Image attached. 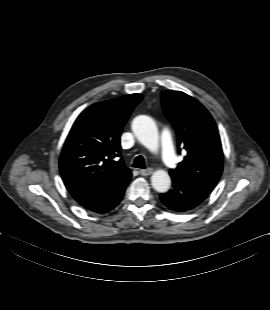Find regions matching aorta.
<instances>
[{"mask_svg":"<svg viewBox=\"0 0 270 310\" xmlns=\"http://www.w3.org/2000/svg\"><path fill=\"white\" fill-rule=\"evenodd\" d=\"M132 131L136 138L146 148L155 151L159 145L158 129L152 118L140 115L132 121ZM153 188L159 193H165L169 190L171 179L169 174L164 170H157L151 176Z\"/></svg>","mask_w":270,"mask_h":310,"instance_id":"1","label":"aorta"}]
</instances>
